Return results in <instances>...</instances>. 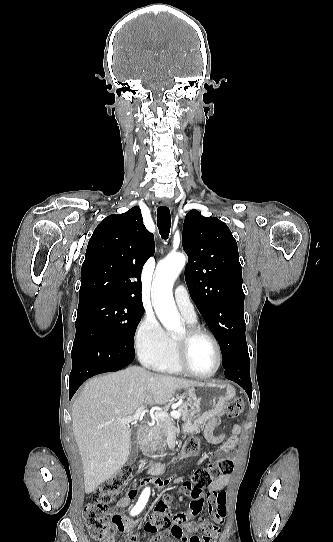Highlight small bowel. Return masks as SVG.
I'll return each instance as SVG.
<instances>
[{
	"label": "small bowel",
	"mask_w": 333,
	"mask_h": 542,
	"mask_svg": "<svg viewBox=\"0 0 333 542\" xmlns=\"http://www.w3.org/2000/svg\"><path fill=\"white\" fill-rule=\"evenodd\" d=\"M219 420L215 421L212 418L206 423L204 427V437L210 443L214 445L221 444L220 452H215L211 454V461L215 463H231L234 460V455L231 451L237 446L239 441V434L241 433V426L237 423L233 424L231 427V435L226 438L225 434H214V428L218 425ZM229 479L227 476H221L214 480L209 487L210 491L219 490L226 486ZM148 485H157L160 488L167 487L170 484L168 479H164L161 476L150 477L145 476L144 479L140 480V485L146 489ZM165 498L168 496L166 493L163 495ZM137 497V491L135 489H128L126 494L118 499L116 505L118 508H127L132 505V501ZM134 514L129 515L126 518V523L116 522L115 528L118 529L119 533H124L126 529L134 527L137 522L134 519ZM184 529L187 534H192L198 528V525L193 522L185 523Z\"/></svg>",
	"instance_id": "small-bowel-1"
}]
</instances>
